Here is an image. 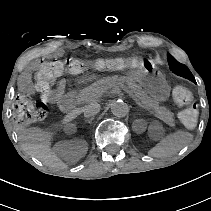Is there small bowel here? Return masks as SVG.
<instances>
[{"label":"small bowel","mask_w":211,"mask_h":211,"mask_svg":"<svg viewBox=\"0 0 211 211\" xmlns=\"http://www.w3.org/2000/svg\"><path fill=\"white\" fill-rule=\"evenodd\" d=\"M61 54H62L61 51H56L54 53H51L49 56L60 57ZM39 65H40L39 61H33L26 66L20 80V89L22 91L27 93L33 92V85L31 83V74ZM65 86H66L65 80L60 79L59 81L56 82L52 90L42 95L43 99L47 102L58 104L64 96Z\"/></svg>","instance_id":"1"}]
</instances>
